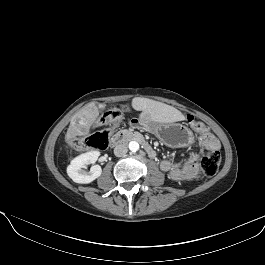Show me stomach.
Returning <instances> with one entry per match:
<instances>
[{"instance_id": "1", "label": "stomach", "mask_w": 265, "mask_h": 265, "mask_svg": "<svg viewBox=\"0 0 265 265\" xmlns=\"http://www.w3.org/2000/svg\"><path fill=\"white\" fill-rule=\"evenodd\" d=\"M140 125L170 147H186L194 141L193 133L179 123H157L140 119Z\"/></svg>"}]
</instances>
